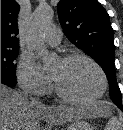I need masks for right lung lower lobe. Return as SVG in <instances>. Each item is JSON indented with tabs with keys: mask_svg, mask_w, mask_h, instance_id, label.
I'll list each match as a JSON object with an SVG mask.
<instances>
[{
	"mask_svg": "<svg viewBox=\"0 0 123 130\" xmlns=\"http://www.w3.org/2000/svg\"><path fill=\"white\" fill-rule=\"evenodd\" d=\"M1 83L5 84L7 86H15L16 85V81H11V80L3 78V77H1Z\"/></svg>",
	"mask_w": 123,
	"mask_h": 130,
	"instance_id": "1",
	"label": "right lung lower lobe"
}]
</instances>
